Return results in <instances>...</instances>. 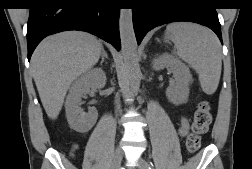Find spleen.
Returning <instances> with one entry per match:
<instances>
[{
  "mask_svg": "<svg viewBox=\"0 0 252 169\" xmlns=\"http://www.w3.org/2000/svg\"><path fill=\"white\" fill-rule=\"evenodd\" d=\"M175 32L179 57L199 76L202 90L213 94L221 75V56L215 35L205 27L180 23L170 26Z\"/></svg>",
  "mask_w": 252,
  "mask_h": 169,
  "instance_id": "3e777b00",
  "label": "spleen"
}]
</instances>
